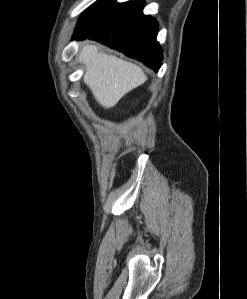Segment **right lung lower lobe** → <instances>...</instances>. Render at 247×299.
Instances as JSON below:
<instances>
[{
	"label": "right lung lower lobe",
	"mask_w": 247,
	"mask_h": 299,
	"mask_svg": "<svg viewBox=\"0 0 247 299\" xmlns=\"http://www.w3.org/2000/svg\"><path fill=\"white\" fill-rule=\"evenodd\" d=\"M143 6L144 1L139 0L120 20L93 34L73 39L98 41L158 71L163 59L162 48L156 41L158 23L143 14Z\"/></svg>",
	"instance_id": "obj_1"
}]
</instances>
